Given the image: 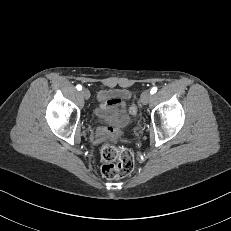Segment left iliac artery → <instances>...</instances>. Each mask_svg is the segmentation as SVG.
Instances as JSON below:
<instances>
[{
    "mask_svg": "<svg viewBox=\"0 0 231 231\" xmlns=\"http://www.w3.org/2000/svg\"><path fill=\"white\" fill-rule=\"evenodd\" d=\"M156 92H157V87H153V88L151 89V91H150L151 94H154V93H156Z\"/></svg>",
    "mask_w": 231,
    "mask_h": 231,
    "instance_id": "obj_1",
    "label": "left iliac artery"
}]
</instances>
